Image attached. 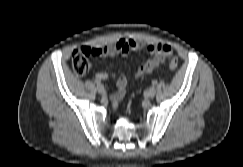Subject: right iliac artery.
<instances>
[{
	"instance_id": "82829eb1",
	"label": "right iliac artery",
	"mask_w": 243,
	"mask_h": 167,
	"mask_svg": "<svg viewBox=\"0 0 243 167\" xmlns=\"http://www.w3.org/2000/svg\"><path fill=\"white\" fill-rule=\"evenodd\" d=\"M95 83H96L97 87L102 85L101 81H98V80H95Z\"/></svg>"
}]
</instances>
